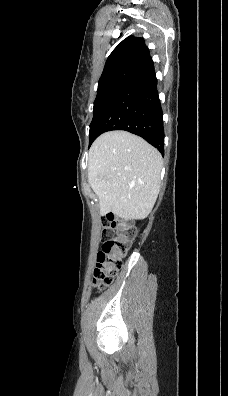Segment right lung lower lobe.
Wrapping results in <instances>:
<instances>
[{
	"mask_svg": "<svg viewBox=\"0 0 228 396\" xmlns=\"http://www.w3.org/2000/svg\"><path fill=\"white\" fill-rule=\"evenodd\" d=\"M95 130L89 146L106 131L125 130L144 138L164 155L162 109L154 66L118 94L98 119Z\"/></svg>",
	"mask_w": 228,
	"mask_h": 396,
	"instance_id": "98d812e1",
	"label": "right lung lower lobe"
}]
</instances>
